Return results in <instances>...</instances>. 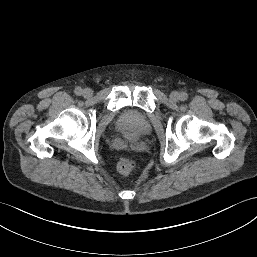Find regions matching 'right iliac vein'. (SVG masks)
Segmentation results:
<instances>
[{
    "label": "right iliac vein",
    "mask_w": 257,
    "mask_h": 257,
    "mask_svg": "<svg viewBox=\"0 0 257 257\" xmlns=\"http://www.w3.org/2000/svg\"><path fill=\"white\" fill-rule=\"evenodd\" d=\"M82 93L85 98H89L93 95V91L90 88H85Z\"/></svg>",
    "instance_id": "obj_1"
}]
</instances>
